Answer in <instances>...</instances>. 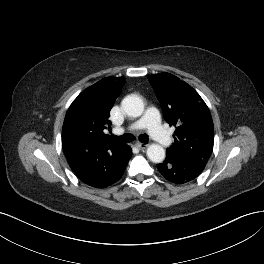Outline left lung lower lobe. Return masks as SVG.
<instances>
[{"label": "left lung lower lobe", "mask_w": 264, "mask_h": 264, "mask_svg": "<svg viewBox=\"0 0 264 264\" xmlns=\"http://www.w3.org/2000/svg\"><path fill=\"white\" fill-rule=\"evenodd\" d=\"M157 168L168 181L184 184L200 175L205 168V163L179 159L167 151L166 159L158 164Z\"/></svg>", "instance_id": "left-lung-lower-lobe-1"}]
</instances>
